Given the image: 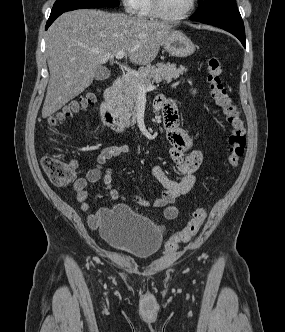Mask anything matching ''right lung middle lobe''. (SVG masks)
I'll return each instance as SVG.
<instances>
[{
	"mask_svg": "<svg viewBox=\"0 0 285 332\" xmlns=\"http://www.w3.org/2000/svg\"><path fill=\"white\" fill-rule=\"evenodd\" d=\"M119 0H56L51 13L66 12L80 8L116 7Z\"/></svg>",
	"mask_w": 285,
	"mask_h": 332,
	"instance_id": "obj_1",
	"label": "right lung middle lobe"
}]
</instances>
